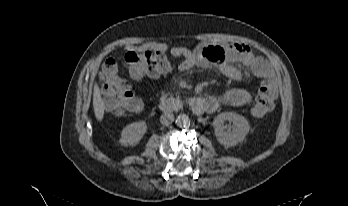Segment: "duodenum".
Masks as SVG:
<instances>
[{"label": "duodenum", "instance_id": "410a0bca", "mask_svg": "<svg viewBox=\"0 0 348 206\" xmlns=\"http://www.w3.org/2000/svg\"><path fill=\"white\" fill-rule=\"evenodd\" d=\"M214 105L212 99L199 96H191L184 100L167 98L160 102L162 112H178L184 109H190L196 115H203L209 112Z\"/></svg>", "mask_w": 348, "mask_h": 206}]
</instances>
